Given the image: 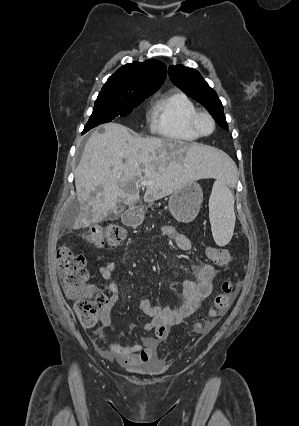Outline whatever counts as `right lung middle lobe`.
<instances>
[{
  "label": "right lung middle lobe",
  "mask_w": 299,
  "mask_h": 426,
  "mask_svg": "<svg viewBox=\"0 0 299 426\" xmlns=\"http://www.w3.org/2000/svg\"><path fill=\"white\" fill-rule=\"evenodd\" d=\"M153 92L147 91L134 97H127L102 89L95 101L92 115L82 133L100 124L111 122L117 116L128 115L133 108L137 107Z\"/></svg>",
  "instance_id": "1"
}]
</instances>
